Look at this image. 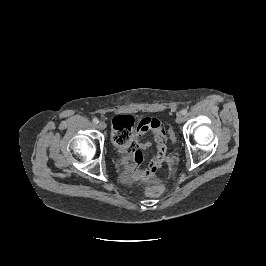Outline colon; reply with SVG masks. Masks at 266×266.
<instances>
[{
  "label": "colon",
  "mask_w": 266,
  "mask_h": 266,
  "mask_svg": "<svg viewBox=\"0 0 266 266\" xmlns=\"http://www.w3.org/2000/svg\"><path fill=\"white\" fill-rule=\"evenodd\" d=\"M164 192L165 188L160 184H151L145 187V193L150 197H160Z\"/></svg>",
  "instance_id": "1"
}]
</instances>
